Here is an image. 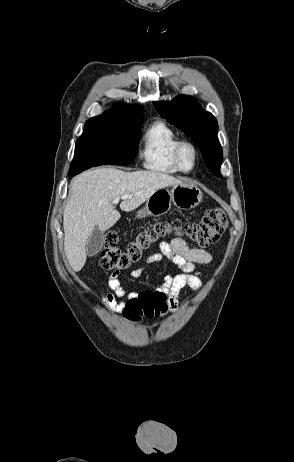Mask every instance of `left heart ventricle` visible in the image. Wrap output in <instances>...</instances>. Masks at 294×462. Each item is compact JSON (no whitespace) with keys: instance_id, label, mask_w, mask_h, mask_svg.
Segmentation results:
<instances>
[{"instance_id":"1","label":"left heart ventricle","mask_w":294,"mask_h":462,"mask_svg":"<svg viewBox=\"0 0 294 462\" xmlns=\"http://www.w3.org/2000/svg\"><path fill=\"white\" fill-rule=\"evenodd\" d=\"M181 161H182V165L185 168H190L192 166V164H193V153L189 148L185 147L182 150Z\"/></svg>"}]
</instances>
